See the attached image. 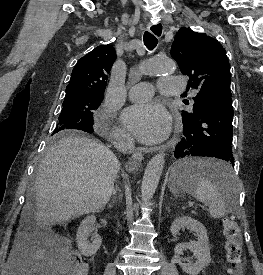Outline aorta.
<instances>
[{
  "instance_id": "obj_1",
  "label": "aorta",
  "mask_w": 263,
  "mask_h": 275,
  "mask_svg": "<svg viewBox=\"0 0 263 275\" xmlns=\"http://www.w3.org/2000/svg\"><path fill=\"white\" fill-rule=\"evenodd\" d=\"M175 64L169 59H152L141 67V72L145 74H163L174 71ZM165 164V154L159 153L155 155L147 164L142 184L141 198L144 203L148 202L154 195L160 176Z\"/></svg>"
}]
</instances>
